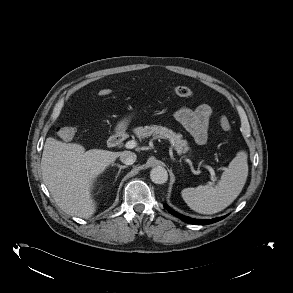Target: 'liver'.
<instances>
[{
    "instance_id": "1",
    "label": "liver",
    "mask_w": 293,
    "mask_h": 293,
    "mask_svg": "<svg viewBox=\"0 0 293 293\" xmlns=\"http://www.w3.org/2000/svg\"><path fill=\"white\" fill-rule=\"evenodd\" d=\"M119 155L99 149L86 151L80 144L48 137L41 159L43 181L64 212L89 218L96 211L93 185Z\"/></svg>"
}]
</instances>
